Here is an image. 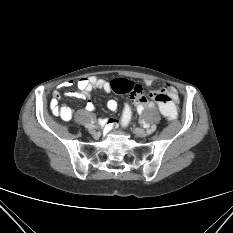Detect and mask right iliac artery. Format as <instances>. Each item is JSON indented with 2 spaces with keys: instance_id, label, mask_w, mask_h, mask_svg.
<instances>
[{
  "instance_id": "82829eb1",
  "label": "right iliac artery",
  "mask_w": 233,
  "mask_h": 233,
  "mask_svg": "<svg viewBox=\"0 0 233 233\" xmlns=\"http://www.w3.org/2000/svg\"><path fill=\"white\" fill-rule=\"evenodd\" d=\"M85 127L90 129V128H93L95 126L93 124H86Z\"/></svg>"
}]
</instances>
